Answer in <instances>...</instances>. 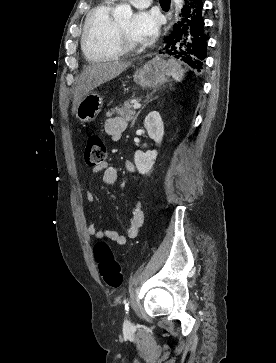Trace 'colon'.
<instances>
[{
	"label": "colon",
	"instance_id": "1",
	"mask_svg": "<svg viewBox=\"0 0 276 363\" xmlns=\"http://www.w3.org/2000/svg\"><path fill=\"white\" fill-rule=\"evenodd\" d=\"M107 150L104 142L97 133L86 137L84 160L88 166L95 167L105 162ZM94 258L98 271L104 282L110 287H119L123 280L122 271L111 247L103 241L96 243Z\"/></svg>",
	"mask_w": 276,
	"mask_h": 363
}]
</instances>
